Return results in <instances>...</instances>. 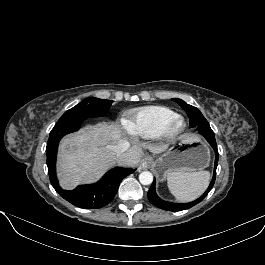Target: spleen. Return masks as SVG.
Returning <instances> with one entry per match:
<instances>
[{
	"mask_svg": "<svg viewBox=\"0 0 265 265\" xmlns=\"http://www.w3.org/2000/svg\"><path fill=\"white\" fill-rule=\"evenodd\" d=\"M210 180L208 171H172L167 175L170 192L180 201H191L200 196Z\"/></svg>",
	"mask_w": 265,
	"mask_h": 265,
	"instance_id": "obj_1",
	"label": "spleen"
}]
</instances>
